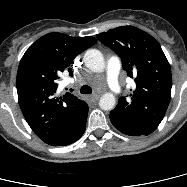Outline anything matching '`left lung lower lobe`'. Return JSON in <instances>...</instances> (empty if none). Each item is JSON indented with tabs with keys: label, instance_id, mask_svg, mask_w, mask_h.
Segmentation results:
<instances>
[{
	"label": "left lung lower lobe",
	"instance_id": "0a47b994",
	"mask_svg": "<svg viewBox=\"0 0 187 187\" xmlns=\"http://www.w3.org/2000/svg\"><path fill=\"white\" fill-rule=\"evenodd\" d=\"M110 120L114 127L118 129L120 132L130 136H139L145 135L144 133L140 132L139 130L129 126L124 121L120 120L116 115L110 113Z\"/></svg>",
	"mask_w": 187,
	"mask_h": 187
}]
</instances>
